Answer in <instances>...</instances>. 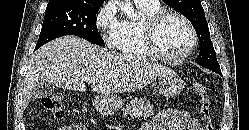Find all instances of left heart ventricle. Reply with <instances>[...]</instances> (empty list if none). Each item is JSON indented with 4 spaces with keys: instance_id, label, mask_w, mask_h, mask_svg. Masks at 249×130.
Returning a JSON list of instances; mask_svg holds the SVG:
<instances>
[{
    "instance_id": "left-heart-ventricle-1",
    "label": "left heart ventricle",
    "mask_w": 249,
    "mask_h": 130,
    "mask_svg": "<svg viewBox=\"0 0 249 130\" xmlns=\"http://www.w3.org/2000/svg\"><path fill=\"white\" fill-rule=\"evenodd\" d=\"M160 49L171 56L182 54L189 46L190 33L186 25L176 17H167L157 30Z\"/></svg>"
}]
</instances>
